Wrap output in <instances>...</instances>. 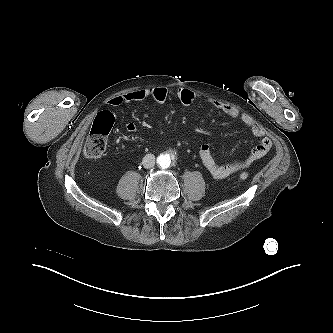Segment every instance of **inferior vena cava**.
Listing matches in <instances>:
<instances>
[{"instance_id":"inferior-vena-cava-1","label":"inferior vena cava","mask_w":333,"mask_h":333,"mask_svg":"<svg viewBox=\"0 0 333 333\" xmlns=\"http://www.w3.org/2000/svg\"><path fill=\"white\" fill-rule=\"evenodd\" d=\"M142 165L146 169L154 167V165H155V156L153 154H146L143 157Z\"/></svg>"}]
</instances>
